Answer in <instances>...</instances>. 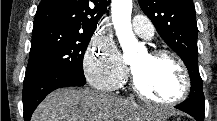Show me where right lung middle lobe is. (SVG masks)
I'll return each instance as SVG.
<instances>
[{
	"label": "right lung middle lobe",
	"mask_w": 217,
	"mask_h": 121,
	"mask_svg": "<svg viewBox=\"0 0 217 121\" xmlns=\"http://www.w3.org/2000/svg\"><path fill=\"white\" fill-rule=\"evenodd\" d=\"M93 33L59 24L34 26L25 79L55 70L85 79L83 56Z\"/></svg>",
	"instance_id": "dd1d6c3e"
}]
</instances>
